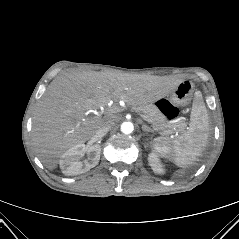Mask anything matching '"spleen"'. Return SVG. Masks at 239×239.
<instances>
[{
	"mask_svg": "<svg viewBox=\"0 0 239 239\" xmlns=\"http://www.w3.org/2000/svg\"><path fill=\"white\" fill-rule=\"evenodd\" d=\"M208 131L207 110L201 95L197 93L188 129L173 139L155 138L153 148L160 156L172 161L178 167H185L191 165L201 155L208 139Z\"/></svg>",
	"mask_w": 239,
	"mask_h": 239,
	"instance_id": "3e777b00",
	"label": "spleen"
}]
</instances>
